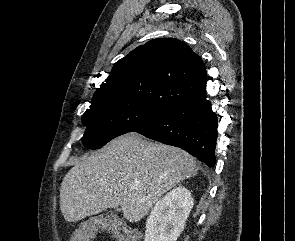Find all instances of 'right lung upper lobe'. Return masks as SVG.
<instances>
[{"instance_id": "right-lung-upper-lobe-1", "label": "right lung upper lobe", "mask_w": 295, "mask_h": 241, "mask_svg": "<svg viewBox=\"0 0 295 241\" xmlns=\"http://www.w3.org/2000/svg\"><path fill=\"white\" fill-rule=\"evenodd\" d=\"M206 84L202 59L184 42L160 38L137 47L116 62L95 94L110 93L166 109L204 94Z\"/></svg>"}]
</instances>
